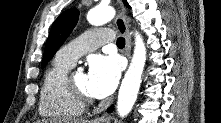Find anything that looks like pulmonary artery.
<instances>
[{
  "label": "pulmonary artery",
  "instance_id": "obj_1",
  "mask_svg": "<svg viewBox=\"0 0 221 123\" xmlns=\"http://www.w3.org/2000/svg\"><path fill=\"white\" fill-rule=\"evenodd\" d=\"M112 40L113 33L111 30L106 28L92 29L61 48L57 56L74 65L81 55L91 52Z\"/></svg>",
  "mask_w": 221,
  "mask_h": 123
}]
</instances>
